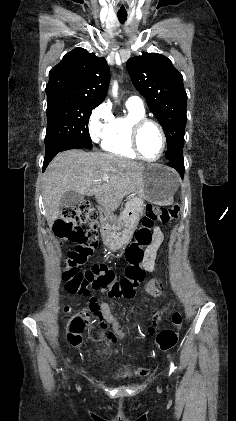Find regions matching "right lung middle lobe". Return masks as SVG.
Instances as JSON below:
<instances>
[{
	"label": "right lung middle lobe",
	"mask_w": 236,
	"mask_h": 421,
	"mask_svg": "<svg viewBox=\"0 0 236 421\" xmlns=\"http://www.w3.org/2000/svg\"><path fill=\"white\" fill-rule=\"evenodd\" d=\"M99 104L84 97L47 95L46 151L62 142H72L91 149L88 121L92 110Z\"/></svg>",
	"instance_id": "obj_1"
}]
</instances>
